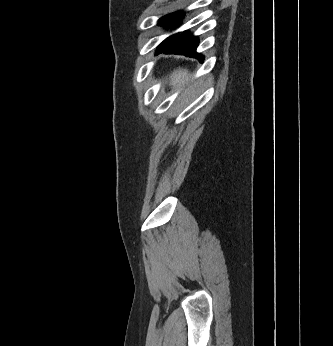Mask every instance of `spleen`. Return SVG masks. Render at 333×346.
I'll use <instances>...</instances> for the list:
<instances>
[{"label":"spleen","mask_w":333,"mask_h":346,"mask_svg":"<svg viewBox=\"0 0 333 346\" xmlns=\"http://www.w3.org/2000/svg\"><path fill=\"white\" fill-rule=\"evenodd\" d=\"M190 76L191 74L189 73L187 69L179 68L178 70L174 71L172 75L170 76V85L173 86L174 88H178L182 84H184L189 79ZM195 85L196 84L192 85L186 91L187 92L193 91L195 88Z\"/></svg>","instance_id":"1"}]
</instances>
